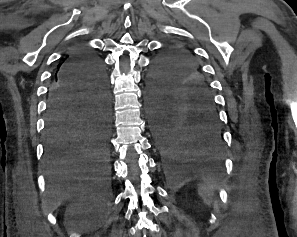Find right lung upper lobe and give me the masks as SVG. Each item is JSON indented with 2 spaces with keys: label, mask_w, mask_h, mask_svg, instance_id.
<instances>
[{
  "label": "right lung upper lobe",
  "mask_w": 297,
  "mask_h": 237,
  "mask_svg": "<svg viewBox=\"0 0 297 237\" xmlns=\"http://www.w3.org/2000/svg\"><path fill=\"white\" fill-rule=\"evenodd\" d=\"M62 63H63V62H62ZM62 63H61V64H62ZM61 64H59V66H58V71L56 72V74H55L53 80H56L57 75L59 74V70H60V65H61Z\"/></svg>",
  "instance_id": "right-lung-upper-lobe-1"
}]
</instances>
